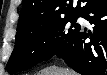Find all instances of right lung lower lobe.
<instances>
[{
    "instance_id": "obj_1",
    "label": "right lung lower lobe",
    "mask_w": 107,
    "mask_h": 75,
    "mask_svg": "<svg viewBox=\"0 0 107 75\" xmlns=\"http://www.w3.org/2000/svg\"><path fill=\"white\" fill-rule=\"evenodd\" d=\"M80 16L94 27L80 30L56 56L82 75H107V1L87 0Z\"/></svg>"
}]
</instances>
